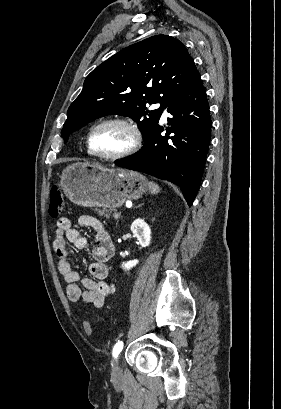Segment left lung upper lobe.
<instances>
[{"instance_id": "left-lung-upper-lobe-1", "label": "left lung upper lobe", "mask_w": 281, "mask_h": 409, "mask_svg": "<svg viewBox=\"0 0 281 409\" xmlns=\"http://www.w3.org/2000/svg\"><path fill=\"white\" fill-rule=\"evenodd\" d=\"M197 69L179 40L156 35L119 51L95 68L70 105L61 135L109 114L129 116L147 138L158 125L163 108L191 83ZM161 103L156 110L146 105ZM148 116V117H147Z\"/></svg>"}]
</instances>
